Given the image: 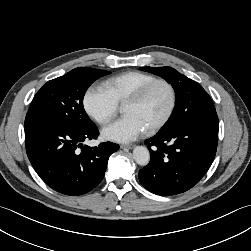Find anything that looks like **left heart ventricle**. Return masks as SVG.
Returning a JSON list of instances; mask_svg holds the SVG:
<instances>
[{"instance_id": "left-heart-ventricle-1", "label": "left heart ventricle", "mask_w": 251, "mask_h": 251, "mask_svg": "<svg viewBox=\"0 0 251 251\" xmlns=\"http://www.w3.org/2000/svg\"><path fill=\"white\" fill-rule=\"evenodd\" d=\"M170 102L169 89L165 85L159 84L148 93L141 103L125 106L124 114L136 117L148 130L164 118Z\"/></svg>"}]
</instances>
